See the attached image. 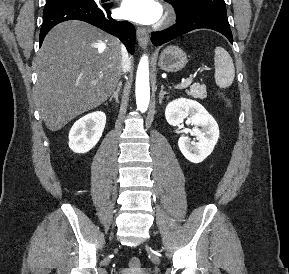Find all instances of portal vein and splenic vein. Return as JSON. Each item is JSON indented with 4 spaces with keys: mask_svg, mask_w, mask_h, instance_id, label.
I'll return each mask as SVG.
<instances>
[{
    "mask_svg": "<svg viewBox=\"0 0 289 274\" xmlns=\"http://www.w3.org/2000/svg\"><path fill=\"white\" fill-rule=\"evenodd\" d=\"M191 83H192V79L189 78V79L181 82L180 87H181V88H186V87H188Z\"/></svg>",
    "mask_w": 289,
    "mask_h": 274,
    "instance_id": "obj_1",
    "label": "portal vein and splenic vein"
}]
</instances>
